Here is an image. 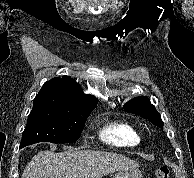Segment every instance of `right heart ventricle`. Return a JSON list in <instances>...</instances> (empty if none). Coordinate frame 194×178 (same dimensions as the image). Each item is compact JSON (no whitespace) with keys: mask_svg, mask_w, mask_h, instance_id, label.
I'll return each instance as SVG.
<instances>
[{"mask_svg":"<svg viewBox=\"0 0 194 178\" xmlns=\"http://www.w3.org/2000/svg\"><path fill=\"white\" fill-rule=\"evenodd\" d=\"M100 139L116 147H134L141 143V136L136 128L125 121H110L101 128Z\"/></svg>","mask_w":194,"mask_h":178,"instance_id":"right-heart-ventricle-1","label":"right heart ventricle"}]
</instances>
